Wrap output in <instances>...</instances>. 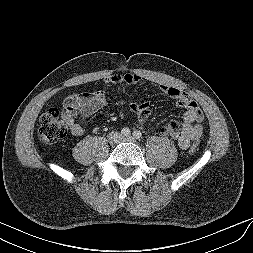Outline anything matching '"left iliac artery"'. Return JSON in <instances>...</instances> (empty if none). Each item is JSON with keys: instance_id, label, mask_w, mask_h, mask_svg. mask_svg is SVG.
I'll return each mask as SVG.
<instances>
[{"instance_id": "1", "label": "left iliac artery", "mask_w": 253, "mask_h": 253, "mask_svg": "<svg viewBox=\"0 0 253 253\" xmlns=\"http://www.w3.org/2000/svg\"><path fill=\"white\" fill-rule=\"evenodd\" d=\"M134 138L140 140L142 138V133L139 130L133 132Z\"/></svg>"}]
</instances>
